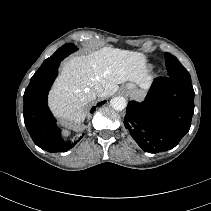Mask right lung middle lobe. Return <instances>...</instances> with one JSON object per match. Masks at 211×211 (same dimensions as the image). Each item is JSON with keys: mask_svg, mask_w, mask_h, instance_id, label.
Here are the masks:
<instances>
[{"mask_svg": "<svg viewBox=\"0 0 211 211\" xmlns=\"http://www.w3.org/2000/svg\"><path fill=\"white\" fill-rule=\"evenodd\" d=\"M77 48L74 44L68 43L60 47L51 57L46 59L40 68L48 66L50 64L61 62L65 57H67L69 54L76 51Z\"/></svg>", "mask_w": 211, "mask_h": 211, "instance_id": "dd1d6c3e", "label": "right lung middle lobe"}]
</instances>
